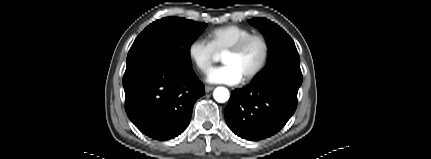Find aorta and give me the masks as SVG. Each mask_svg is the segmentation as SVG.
<instances>
[{"mask_svg": "<svg viewBox=\"0 0 431 159\" xmlns=\"http://www.w3.org/2000/svg\"><path fill=\"white\" fill-rule=\"evenodd\" d=\"M213 97L217 102L224 103L229 99L230 94L228 89L224 87H217L213 92Z\"/></svg>", "mask_w": 431, "mask_h": 159, "instance_id": "aorta-1", "label": "aorta"}]
</instances>
